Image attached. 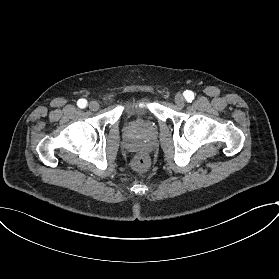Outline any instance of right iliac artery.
<instances>
[{"label":"right iliac artery","mask_w":279,"mask_h":279,"mask_svg":"<svg viewBox=\"0 0 279 279\" xmlns=\"http://www.w3.org/2000/svg\"><path fill=\"white\" fill-rule=\"evenodd\" d=\"M77 105L79 108H85L87 105V101L85 99H79Z\"/></svg>","instance_id":"1"}]
</instances>
